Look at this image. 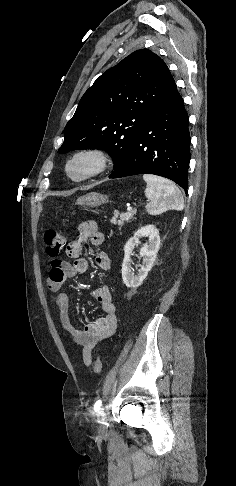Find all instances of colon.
<instances>
[{
    "mask_svg": "<svg viewBox=\"0 0 236 486\" xmlns=\"http://www.w3.org/2000/svg\"><path fill=\"white\" fill-rule=\"evenodd\" d=\"M44 240L47 246V253L51 257L57 256L66 246L65 237L57 230H49L44 235ZM102 361L96 357L93 364V371L99 375L102 371Z\"/></svg>",
    "mask_w": 236,
    "mask_h": 486,
    "instance_id": "obj_1",
    "label": "colon"
}]
</instances>
